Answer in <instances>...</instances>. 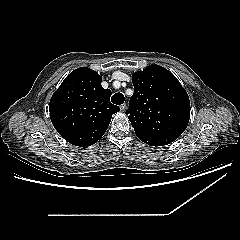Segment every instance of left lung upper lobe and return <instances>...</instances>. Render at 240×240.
Instances as JSON below:
<instances>
[{
  "instance_id": "obj_1",
  "label": "left lung upper lobe",
  "mask_w": 240,
  "mask_h": 240,
  "mask_svg": "<svg viewBox=\"0 0 240 240\" xmlns=\"http://www.w3.org/2000/svg\"><path fill=\"white\" fill-rule=\"evenodd\" d=\"M134 94L129 115L141 140L167 138L175 140L186 129L190 118V101L178 79L167 69L151 64L133 74Z\"/></svg>"
}]
</instances>
